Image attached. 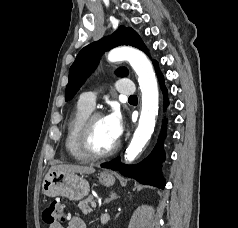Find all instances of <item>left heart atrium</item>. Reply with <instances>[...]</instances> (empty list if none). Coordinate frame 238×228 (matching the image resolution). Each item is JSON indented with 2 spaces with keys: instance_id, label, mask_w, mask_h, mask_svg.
<instances>
[{
  "instance_id": "left-heart-atrium-1",
  "label": "left heart atrium",
  "mask_w": 238,
  "mask_h": 228,
  "mask_svg": "<svg viewBox=\"0 0 238 228\" xmlns=\"http://www.w3.org/2000/svg\"><path fill=\"white\" fill-rule=\"evenodd\" d=\"M104 118L112 137L118 140L124 130L121 114L118 111H112Z\"/></svg>"
}]
</instances>
